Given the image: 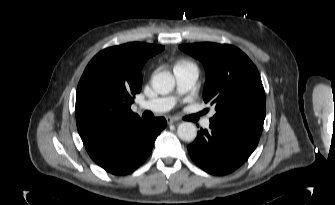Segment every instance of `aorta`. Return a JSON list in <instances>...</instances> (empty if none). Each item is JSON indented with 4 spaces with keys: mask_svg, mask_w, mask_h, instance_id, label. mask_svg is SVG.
Segmentation results:
<instances>
[{
    "mask_svg": "<svg viewBox=\"0 0 335 205\" xmlns=\"http://www.w3.org/2000/svg\"><path fill=\"white\" fill-rule=\"evenodd\" d=\"M151 84L157 93L167 94L173 90L175 79L170 72L164 71L154 75ZM177 134L181 140L191 142L195 140L197 136V128L191 122H183L179 124Z\"/></svg>",
    "mask_w": 335,
    "mask_h": 205,
    "instance_id": "762f6f07",
    "label": "aorta"
}]
</instances>
